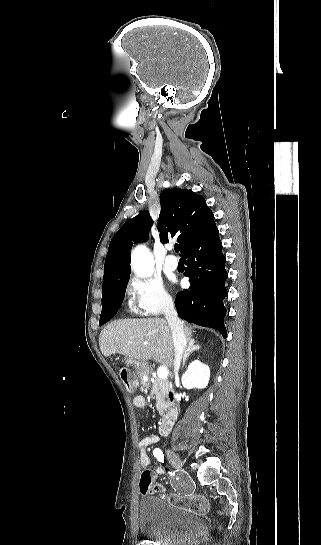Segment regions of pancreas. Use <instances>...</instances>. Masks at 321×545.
Instances as JSON below:
<instances>
[{"instance_id": "obj_1", "label": "pancreas", "mask_w": 321, "mask_h": 545, "mask_svg": "<svg viewBox=\"0 0 321 545\" xmlns=\"http://www.w3.org/2000/svg\"><path fill=\"white\" fill-rule=\"evenodd\" d=\"M152 373V367L149 365L148 371H145L146 377H150ZM170 385L168 379H157L155 383L151 385V395H155L156 409L159 411V415H163L166 409V399H168Z\"/></svg>"}]
</instances>
